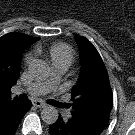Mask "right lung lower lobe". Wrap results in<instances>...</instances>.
<instances>
[{"label": "right lung lower lobe", "mask_w": 135, "mask_h": 135, "mask_svg": "<svg viewBox=\"0 0 135 135\" xmlns=\"http://www.w3.org/2000/svg\"><path fill=\"white\" fill-rule=\"evenodd\" d=\"M31 101L11 100L0 103V135H14Z\"/></svg>", "instance_id": "obj_1"}]
</instances>
